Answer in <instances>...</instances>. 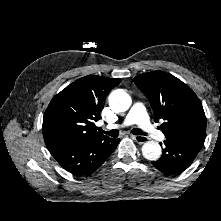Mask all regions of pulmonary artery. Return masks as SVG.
<instances>
[{"mask_svg":"<svg viewBox=\"0 0 221 221\" xmlns=\"http://www.w3.org/2000/svg\"><path fill=\"white\" fill-rule=\"evenodd\" d=\"M136 124L143 131H145L151 138L162 140L164 135L159 131L155 125H153L146 113L145 107L142 103L136 102L131 108L130 112L124 119L122 126H130ZM113 128H118L119 125L112 126ZM111 128V127H110Z\"/></svg>","mask_w":221,"mask_h":221,"instance_id":"pulmonary-artery-1","label":"pulmonary artery"}]
</instances>
